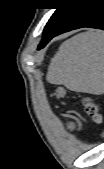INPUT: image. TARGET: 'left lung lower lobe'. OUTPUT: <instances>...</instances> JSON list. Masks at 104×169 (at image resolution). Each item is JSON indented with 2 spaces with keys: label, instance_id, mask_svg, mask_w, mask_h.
I'll return each mask as SVG.
<instances>
[{
  "label": "left lung lower lobe",
  "instance_id": "left-lung-lower-lobe-1",
  "mask_svg": "<svg viewBox=\"0 0 104 169\" xmlns=\"http://www.w3.org/2000/svg\"><path fill=\"white\" fill-rule=\"evenodd\" d=\"M82 27L104 30V8L101 0H76L58 27L43 36L38 49L43 48L53 37Z\"/></svg>",
  "mask_w": 104,
  "mask_h": 169
}]
</instances>
